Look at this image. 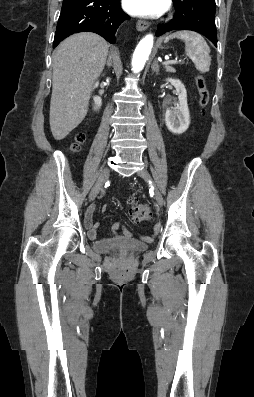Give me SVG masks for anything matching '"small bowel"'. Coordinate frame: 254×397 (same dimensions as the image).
I'll list each match as a JSON object with an SVG mask.
<instances>
[{
  "instance_id": "c3829d8e",
  "label": "small bowel",
  "mask_w": 254,
  "mask_h": 397,
  "mask_svg": "<svg viewBox=\"0 0 254 397\" xmlns=\"http://www.w3.org/2000/svg\"><path fill=\"white\" fill-rule=\"evenodd\" d=\"M95 211V206L91 205L88 207L86 210L85 216H84V223L88 231V236L90 239H96L97 238V230L99 228V223L93 221V214ZM104 211H107V208L104 207ZM121 224L119 222H116L112 226V232L114 235H120L119 229L121 228ZM160 229L159 224H157L154 227V234H156ZM122 235L130 237L131 233L128 232L125 228L122 227ZM146 239L150 240V237H146Z\"/></svg>"
}]
</instances>
